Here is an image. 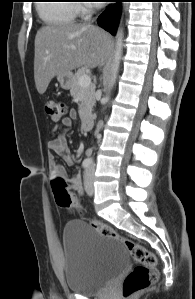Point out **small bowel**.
Returning a JSON list of instances; mask_svg holds the SVG:
<instances>
[{"label": "small bowel", "instance_id": "small-bowel-1", "mask_svg": "<svg viewBox=\"0 0 195 299\" xmlns=\"http://www.w3.org/2000/svg\"><path fill=\"white\" fill-rule=\"evenodd\" d=\"M75 113L72 111L69 116L63 118L61 120V124L64 128V131L49 141L48 143V149L50 152L56 153L60 156H62L65 160V162L72 166L74 164V160L72 156L69 153L67 143H66V132L72 127L73 119H74ZM50 170L53 174H61L68 182H69V188L72 190H75L79 195L84 194V188L82 185L81 177L78 173H75L73 176H68L63 168L58 165L56 162H54L50 158Z\"/></svg>", "mask_w": 195, "mask_h": 299}]
</instances>
